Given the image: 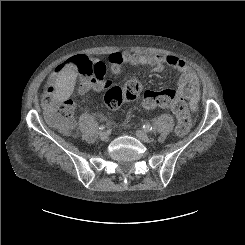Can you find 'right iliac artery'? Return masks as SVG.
Wrapping results in <instances>:
<instances>
[{
	"label": "right iliac artery",
	"mask_w": 245,
	"mask_h": 245,
	"mask_svg": "<svg viewBox=\"0 0 245 245\" xmlns=\"http://www.w3.org/2000/svg\"><path fill=\"white\" fill-rule=\"evenodd\" d=\"M99 129H100V130H104V129H105V126H104V125H101V126L99 127Z\"/></svg>",
	"instance_id": "1"
}]
</instances>
